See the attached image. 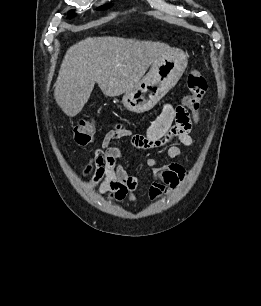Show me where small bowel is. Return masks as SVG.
I'll return each instance as SVG.
<instances>
[{
	"label": "small bowel",
	"instance_id": "obj_1",
	"mask_svg": "<svg viewBox=\"0 0 261 306\" xmlns=\"http://www.w3.org/2000/svg\"><path fill=\"white\" fill-rule=\"evenodd\" d=\"M199 122L200 108L191 110L189 113L181 106L165 104L145 134L132 136V143L137 150L158 148L170 142L190 147L193 144L192 128ZM130 135L127 129L119 125L106 133L102 140L105 164L102 168L95 167L94 180L99 183L98 192L100 194L107 195L114 201L128 200L135 203L137 202L135 191L140 184V179L118 162L122 157V151L110 146L114 140ZM165 155L168 158L176 159L183 157L184 153L179 146L171 145L166 149ZM145 164L151 170L154 178L148 189L152 200H157L162 195L175 191L187 174L185 168L179 163L171 162L159 166L156 157H148ZM91 168L88 166L86 171L89 172Z\"/></svg>",
	"mask_w": 261,
	"mask_h": 306
}]
</instances>
